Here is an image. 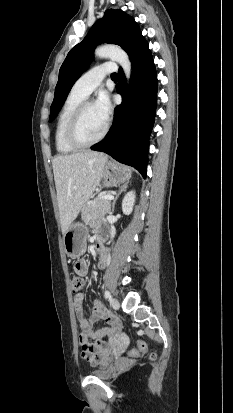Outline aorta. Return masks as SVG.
<instances>
[{
  "label": "aorta",
  "instance_id": "obj_1",
  "mask_svg": "<svg viewBox=\"0 0 233 413\" xmlns=\"http://www.w3.org/2000/svg\"><path fill=\"white\" fill-rule=\"evenodd\" d=\"M94 54L96 57L109 58L117 62L123 68L127 81L129 82L132 67L129 56L123 49L116 46H101L95 49Z\"/></svg>",
  "mask_w": 233,
  "mask_h": 413
}]
</instances>
